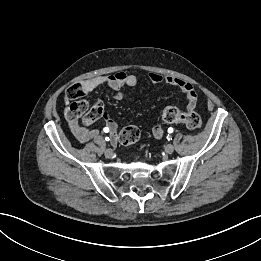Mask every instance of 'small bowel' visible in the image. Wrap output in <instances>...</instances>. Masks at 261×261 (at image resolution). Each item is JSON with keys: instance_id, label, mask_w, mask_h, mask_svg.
<instances>
[{"instance_id": "small-bowel-1", "label": "small bowel", "mask_w": 261, "mask_h": 261, "mask_svg": "<svg viewBox=\"0 0 261 261\" xmlns=\"http://www.w3.org/2000/svg\"><path fill=\"white\" fill-rule=\"evenodd\" d=\"M149 79L154 84L166 83L179 89L186 96V110L190 112L195 109L198 102V94L190 83L177 77L164 76L158 73H150ZM137 82L138 79L135 75L128 74L126 72H118L111 75H102L84 80L80 83V85L84 91V94L90 93L102 85H107L115 91L116 99L121 100L123 98V89L125 87L133 88L137 85ZM97 103L100 105L102 111L105 113L103 104L99 101H97ZM68 112L69 108L66 110V118L68 120L71 132L78 141L84 143L96 138L99 135V131L97 129L87 127L91 122H88L84 119V125H82L79 123L78 118L71 117ZM104 116L106 117L105 128L109 129L108 132L112 137V141L116 142L117 124L114 120L107 117L106 113ZM153 135L156 139L162 138V136L164 135V128L161 126L155 127L153 129Z\"/></svg>"}]
</instances>
